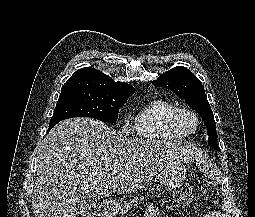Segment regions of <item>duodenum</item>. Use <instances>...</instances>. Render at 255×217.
Instances as JSON below:
<instances>
[{"label":"duodenum","mask_w":255,"mask_h":217,"mask_svg":"<svg viewBox=\"0 0 255 217\" xmlns=\"http://www.w3.org/2000/svg\"><path fill=\"white\" fill-rule=\"evenodd\" d=\"M113 212V207L110 204H100L98 207V215L100 217H108Z\"/></svg>","instance_id":"1"}]
</instances>
